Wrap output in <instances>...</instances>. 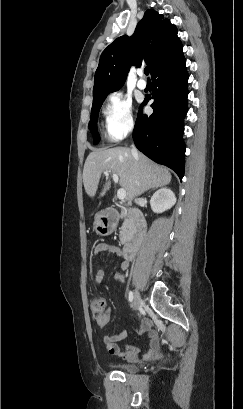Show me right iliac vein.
Instances as JSON below:
<instances>
[{
    "label": "right iliac vein",
    "mask_w": 243,
    "mask_h": 409,
    "mask_svg": "<svg viewBox=\"0 0 243 409\" xmlns=\"http://www.w3.org/2000/svg\"><path fill=\"white\" fill-rule=\"evenodd\" d=\"M140 293L138 290L135 291V295H134V303L133 306L135 309L138 308L139 304H140Z\"/></svg>",
    "instance_id": "right-iliac-vein-1"
}]
</instances>
